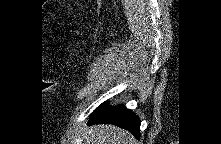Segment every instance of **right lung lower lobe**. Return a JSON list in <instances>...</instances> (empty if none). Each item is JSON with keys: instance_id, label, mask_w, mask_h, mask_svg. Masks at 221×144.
<instances>
[{"instance_id": "1", "label": "right lung lower lobe", "mask_w": 221, "mask_h": 144, "mask_svg": "<svg viewBox=\"0 0 221 144\" xmlns=\"http://www.w3.org/2000/svg\"><path fill=\"white\" fill-rule=\"evenodd\" d=\"M90 124H113L124 128L140 138V120L124 105L108 106L102 103L91 115Z\"/></svg>"}]
</instances>
